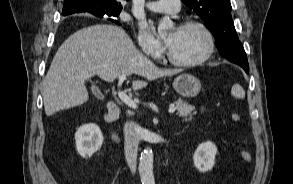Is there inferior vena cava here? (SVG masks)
<instances>
[{"label": "inferior vena cava", "instance_id": "1", "mask_svg": "<svg viewBox=\"0 0 293 184\" xmlns=\"http://www.w3.org/2000/svg\"><path fill=\"white\" fill-rule=\"evenodd\" d=\"M138 143L139 136L136 124L132 121L126 122L124 125V152L132 173L136 172Z\"/></svg>", "mask_w": 293, "mask_h": 184}]
</instances>
